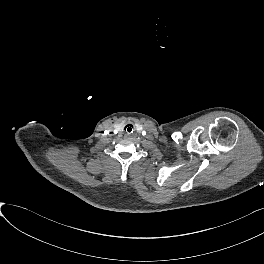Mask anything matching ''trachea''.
Returning a JSON list of instances; mask_svg holds the SVG:
<instances>
[{
	"label": "trachea",
	"instance_id": "trachea-1",
	"mask_svg": "<svg viewBox=\"0 0 264 264\" xmlns=\"http://www.w3.org/2000/svg\"><path fill=\"white\" fill-rule=\"evenodd\" d=\"M124 131L126 134H132L134 132V126L130 123L126 124L124 127Z\"/></svg>",
	"mask_w": 264,
	"mask_h": 264
}]
</instances>
